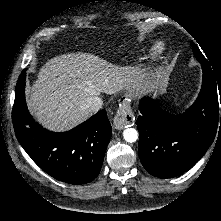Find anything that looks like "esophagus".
<instances>
[{
  "label": "esophagus",
  "instance_id": "1",
  "mask_svg": "<svg viewBox=\"0 0 221 221\" xmlns=\"http://www.w3.org/2000/svg\"><path fill=\"white\" fill-rule=\"evenodd\" d=\"M135 123V116L130 107V99L125 96L121 103L117 115L114 119V128L122 129L125 126H133Z\"/></svg>",
  "mask_w": 221,
  "mask_h": 221
}]
</instances>
